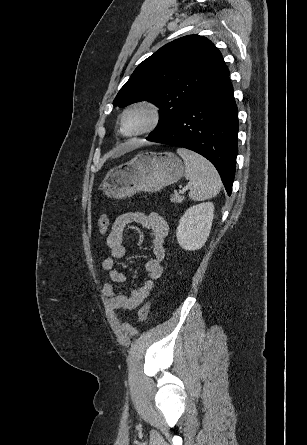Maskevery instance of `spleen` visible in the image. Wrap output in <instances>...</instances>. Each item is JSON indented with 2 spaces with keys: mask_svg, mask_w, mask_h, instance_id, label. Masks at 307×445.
I'll use <instances>...</instances> for the list:
<instances>
[{
  "mask_svg": "<svg viewBox=\"0 0 307 445\" xmlns=\"http://www.w3.org/2000/svg\"><path fill=\"white\" fill-rule=\"evenodd\" d=\"M177 152L184 160L185 178L192 182L190 198L192 200H207V198L216 196L222 182L215 166L207 158L193 150H188V148H177Z\"/></svg>",
  "mask_w": 307,
  "mask_h": 445,
  "instance_id": "1",
  "label": "spleen"
}]
</instances>
